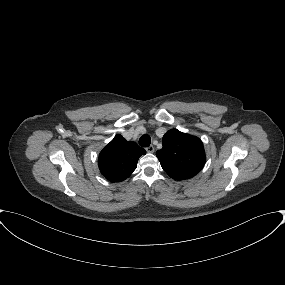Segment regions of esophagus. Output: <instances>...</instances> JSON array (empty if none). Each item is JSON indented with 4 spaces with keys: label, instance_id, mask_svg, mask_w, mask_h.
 <instances>
[{
    "label": "esophagus",
    "instance_id": "obj_1",
    "mask_svg": "<svg viewBox=\"0 0 285 285\" xmlns=\"http://www.w3.org/2000/svg\"><path fill=\"white\" fill-rule=\"evenodd\" d=\"M154 150H155V148H154V146H152V145H150V146H148V147L146 148V151H147L148 153H153Z\"/></svg>",
    "mask_w": 285,
    "mask_h": 285
}]
</instances>
